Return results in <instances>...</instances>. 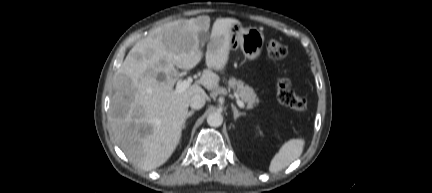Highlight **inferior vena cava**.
<instances>
[{"instance_id": "obj_1", "label": "inferior vena cava", "mask_w": 432, "mask_h": 193, "mask_svg": "<svg viewBox=\"0 0 432 193\" xmlns=\"http://www.w3.org/2000/svg\"><path fill=\"white\" fill-rule=\"evenodd\" d=\"M205 102H206V96L205 95L195 94L191 98L190 107L192 109L198 110V109H201L205 105Z\"/></svg>"}]
</instances>
